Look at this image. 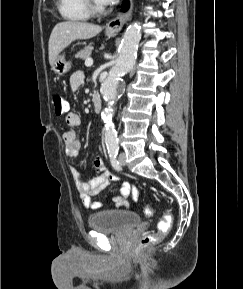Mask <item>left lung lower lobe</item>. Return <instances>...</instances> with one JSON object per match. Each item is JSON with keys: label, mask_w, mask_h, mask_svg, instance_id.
<instances>
[{"label": "left lung lower lobe", "mask_w": 243, "mask_h": 289, "mask_svg": "<svg viewBox=\"0 0 243 289\" xmlns=\"http://www.w3.org/2000/svg\"><path fill=\"white\" fill-rule=\"evenodd\" d=\"M128 8H129V1H128V0H125V2H124V4H123V7H122V10H123V11H126Z\"/></svg>", "instance_id": "left-lung-lower-lobe-1"}]
</instances>
